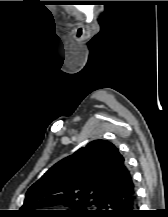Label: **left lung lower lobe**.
Listing matches in <instances>:
<instances>
[{
    "instance_id": "1",
    "label": "left lung lower lobe",
    "mask_w": 168,
    "mask_h": 217,
    "mask_svg": "<svg viewBox=\"0 0 168 217\" xmlns=\"http://www.w3.org/2000/svg\"><path fill=\"white\" fill-rule=\"evenodd\" d=\"M97 216L107 217H139L137 199L132 178L119 191L110 195L103 203Z\"/></svg>"
}]
</instances>
